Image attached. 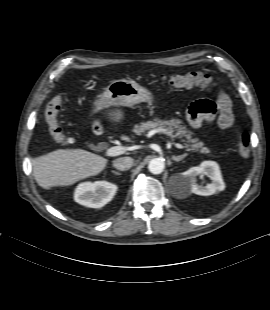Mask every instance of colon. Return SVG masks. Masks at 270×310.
<instances>
[{"instance_id":"5ec220e1","label":"colon","mask_w":270,"mask_h":310,"mask_svg":"<svg viewBox=\"0 0 270 310\" xmlns=\"http://www.w3.org/2000/svg\"><path fill=\"white\" fill-rule=\"evenodd\" d=\"M163 81L173 88H191L202 87L205 89H213L216 82L212 76L202 72H190L187 74H175L164 76ZM195 108L203 114H211L215 111L213 102L207 99H201L194 103ZM62 108V96H55L46 106L45 121L48 125L49 133L52 139L62 145L72 144V139L67 137L61 124L58 121V115ZM237 148L241 159L247 160L250 157V135L242 132L237 136Z\"/></svg>"}]
</instances>
